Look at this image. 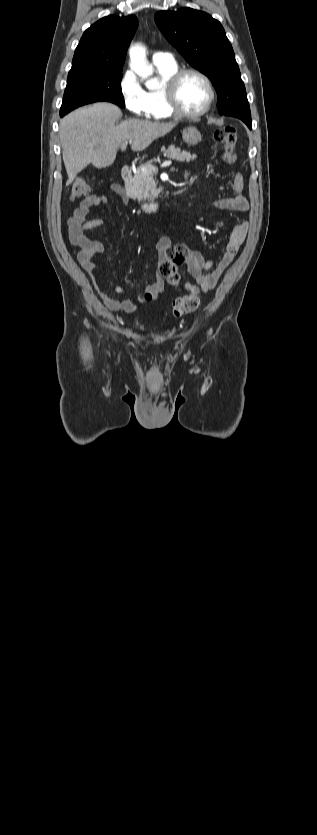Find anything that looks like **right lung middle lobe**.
Instances as JSON below:
<instances>
[{
  "label": "right lung middle lobe",
  "instance_id": "right-lung-middle-lobe-1",
  "mask_svg": "<svg viewBox=\"0 0 317 835\" xmlns=\"http://www.w3.org/2000/svg\"><path fill=\"white\" fill-rule=\"evenodd\" d=\"M122 70L106 67H80L68 74L60 113L93 102L108 101L124 108L121 91Z\"/></svg>",
  "mask_w": 317,
  "mask_h": 835
}]
</instances>
